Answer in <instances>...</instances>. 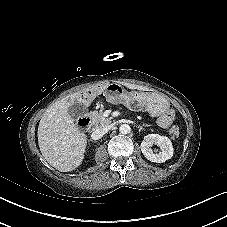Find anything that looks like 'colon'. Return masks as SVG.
<instances>
[{"label": "colon", "instance_id": "obj_1", "mask_svg": "<svg viewBox=\"0 0 227 227\" xmlns=\"http://www.w3.org/2000/svg\"><path fill=\"white\" fill-rule=\"evenodd\" d=\"M98 98V95L93 96V100H96Z\"/></svg>", "mask_w": 227, "mask_h": 227}]
</instances>
